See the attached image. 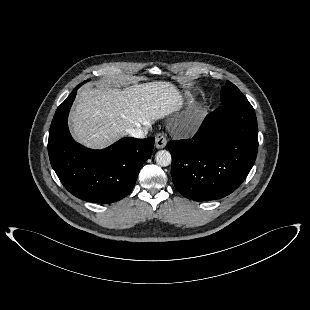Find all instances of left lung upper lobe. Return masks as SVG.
<instances>
[{
  "label": "left lung upper lobe",
  "instance_id": "1",
  "mask_svg": "<svg viewBox=\"0 0 310 310\" xmlns=\"http://www.w3.org/2000/svg\"><path fill=\"white\" fill-rule=\"evenodd\" d=\"M246 97L241 91L231 82L227 81L226 85L221 90L222 104H237L246 101Z\"/></svg>",
  "mask_w": 310,
  "mask_h": 310
}]
</instances>
